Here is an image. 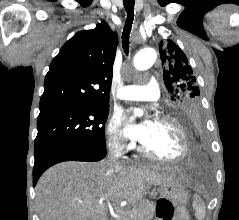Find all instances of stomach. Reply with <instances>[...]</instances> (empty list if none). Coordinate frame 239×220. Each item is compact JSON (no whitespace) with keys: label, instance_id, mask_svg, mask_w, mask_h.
Here are the masks:
<instances>
[{"label":"stomach","instance_id":"stomach-1","mask_svg":"<svg viewBox=\"0 0 239 220\" xmlns=\"http://www.w3.org/2000/svg\"><path fill=\"white\" fill-rule=\"evenodd\" d=\"M160 198L157 202L159 220H186L184 205L188 201V192L182 186L159 185Z\"/></svg>","mask_w":239,"mask_h":220}]
</instances>
